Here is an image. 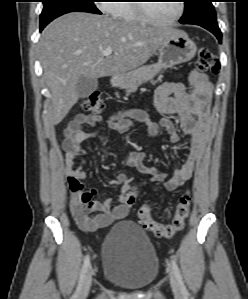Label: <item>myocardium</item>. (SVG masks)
<instances>
[{
    "instance_id": "1",
    "label": "myocardium",
    "mask_w": 248,
    "mask_h": 299,
    "mask_svg": "<svg viewBox=\"0 0 248 299\" xmlns=\"http://www.w3.org/2000/svg\"><path fill=\"white\" fill-rule=\"evenodd\" d=\"M177 4H178V12L177 14L170 18V19H166V20H160L154 16H152L148 10H147V3H138L136 4V11L138 13V15L140 16V18L149 24H154V25H170L173 24L175 22H177L178 20H180L184 14L185 11V5L183 0H177Z\"/></svg>"
}]
</instances>
